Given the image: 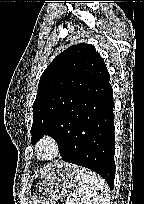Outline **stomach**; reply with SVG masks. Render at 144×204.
I'll use <instances>...</instances> for the list:
<instances>
[{
	"mask_svg": "<svg viewBox=\"0 0 144 204\" xmlns=\"http://www.w3.org/2000/svg\"><path fill=\"white\" fill-rule=\"evenodd\" d=\"M80 172L78 167L63 163L43 168L28 188L33 204H55L62 197L74 195L73 191L79 187Z\"/></svg>",
	"mask_w": 144,
	"mask_h": 204,
	"instance_id": "obj_1",
	"label": "stomach"
}]
</instances>
